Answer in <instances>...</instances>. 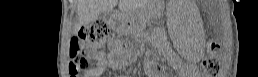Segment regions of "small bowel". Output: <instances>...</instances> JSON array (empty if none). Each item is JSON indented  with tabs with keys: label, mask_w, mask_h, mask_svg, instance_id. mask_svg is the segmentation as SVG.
<instances>
[{
	"label": "small bowel",
	"mask_w": 258,
	"mask_h": 77,
	"mask_svg": "<svg viewBox=\"0 0 258 77\" xmlns=\"http://www.w3.org/2000/svg\"><path fill=\"white\" fill-rule=\"evenodd\" d=\"M110 54L111 52L108 54H96L97 65L90 71V74H96L102 71L108 65Z\"/></svg>",
	"instance_id": "c3829d8e"
}]
</instances>
